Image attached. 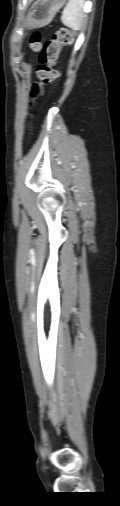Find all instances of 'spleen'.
<instances>
[{
  "label": "spleen",
  "instance_id": "obj_1",
  "mask_svg": "<svg viewBox=\"0 0 120 506\" xmlns=\"http://www.w3.org/2000/svg\"><path fill=\"white\" fill-rule=\"evenodd\" d=\"M83 6L84 0H69L62 12V23L73 30H80L84 17Z\"/></svg>",
  "mask_w": 120,
  "mask_h": 506
}]
</instances>
